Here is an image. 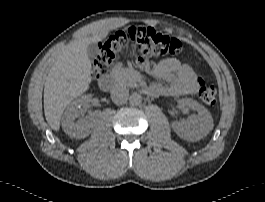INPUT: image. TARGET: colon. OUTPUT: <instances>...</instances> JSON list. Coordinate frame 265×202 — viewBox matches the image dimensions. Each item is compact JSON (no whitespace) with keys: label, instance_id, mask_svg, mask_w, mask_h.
Returning <instances> with one entry per match:
<instances>
[{"label":"colon","instance_id":"5ec220e1","mask_svg":"<svg viewBox=\"0 0 265 202\" xmlns=\"http://www.w3.org/2000/svg\"><path fill=\"white\" fill-rule=\"evenodd\" d=\"M132 46L137 52V62L142 67L151 66L152 58L177 55L182 51L181 42L172 36L162 34L149 27H130L105 36L98 47L92 64L94 81L105 76L112 63L120 56L122 50ZM198 96L209 107L216 105V87L204 77L198 79Z\"/></svg>","mask_w":265,"mask_h":202}]
</instances>
